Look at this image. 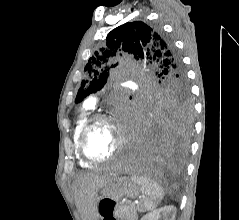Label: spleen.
Returning <instances> with one entry per match:
<instances>
[{"mask_svg": "<svg viewBox=\"0 0 239 220\" xmlns=\"http://www.w3.org/2000/svg\"><path fill=\"white\" fill-rule=\"evenodd\" d=\"M131 180L137 183L142 193V199L137 204L139 212L156 208L164 197L162 187L147 176L133 174Z\"/></svg>", "mask_w": 239, "mask_h": 220, "instance_id": "obj_1", "label": "spleen"}]
</instances>
